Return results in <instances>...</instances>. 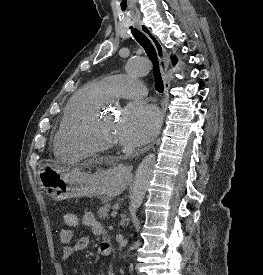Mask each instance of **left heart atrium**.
<instances>
[{
  "label": "left heart atrium",
  "mask_w": 263,
  "mask_h": 275,
  "mask_svg": "<svg viewBox=\"0 0 263 275\" xmlns=\"http://www.w3.org/2000/svg\"><path fill=\"white\" fill-rule=\"evenodd\" d=\"M161 115L155 105L134 101L123 110L117 125V132L122 143L139 146L151 140L157 133Z\"/></svg>",
  "instance_id": "obj_1"
}]
</instances>
